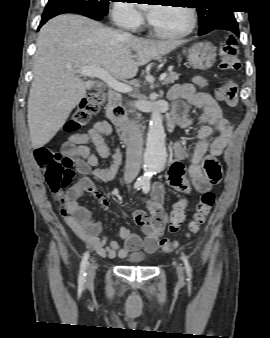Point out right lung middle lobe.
<instances>
[{
	"instance_id": "right-lung-middle-lobe-1",
	"label": "right lung middle lobe",
	"mask_w": 270,
	"mask_h": 338,
	"mask_svg": "<svg viewBox=\"0 0 270 338\" xmlns=\"http://www.w3.org/2000/svg\"><path fill=\"white\" fill-rule=\"evenodd\" d=\"M109 1L111 0H49L45 7V10L81 9V10H87V11L99 13L102 15H107Z\"/></svg>"
}]
</instances>
